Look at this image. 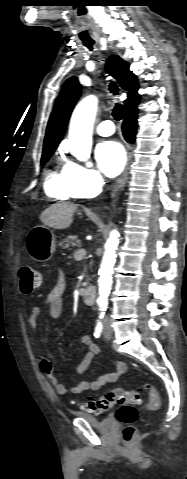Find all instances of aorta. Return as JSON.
<instances>
[{"mask_svg": "<svg viewBox=\"0 0 187 479\" xmlns=\"http://www.w3.org/2000/svg\"><path fill=\"white\" fill-rule=\"evenodd\" d=\"M98 100L94 95L84 98L75 108L69 128V147L71 153L80 161L90 158L92 147V129L97 111ZM88 166L91 163L87 162ZM119 232L112 230L105 244V252L99 269V296L97 304L104 312L108 305V296L112 286V271L116 262V250L119 244Z\"/></svg>", "mask_w": 187, "mask_h": 479, "instance_id": "aorta-1", "label": "aorta"}]
</instances>
